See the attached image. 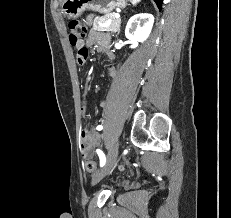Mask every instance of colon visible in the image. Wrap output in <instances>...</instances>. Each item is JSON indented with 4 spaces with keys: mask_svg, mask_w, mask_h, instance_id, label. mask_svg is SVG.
I'll return each instance as SVG.
<instances>
[{
    "mask_svg": "<svg viewBox=\"0 0 231 218\" xmlns=\"http://www.w3.org/2000/svg\"><path fill=\"white\" fill-rule=\"evenodd\" d=\"M68 31L69 40L73 46H76L85 41L87 30L78 20L71 19L68 21ZM77 58H88V49L86 47L79 49ZM96 167V162L91 159H88L85 162V169L90 173H94L96 171Z\"/></svg>",
    "mask_w": 231,
    "mask_h": 218,
    "instance_id": "colon-1",
    "label": "colon"
}]
</instances>
